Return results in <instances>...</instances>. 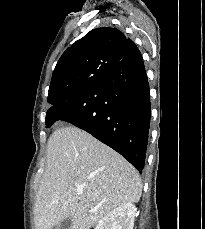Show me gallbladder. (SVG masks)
<instances>
[{
	"label": "gallbladder",
	"mask_w": 205,
	"mask_h": 229,
	"mask_svg": "<svg viewBox=\"0 0 205 229\" xmlns=\"http://www.w3.org/2000/svg\"><path fill=\"white\" fill-rule=\"evenodd\" d=\"M71 227V219L70 217L61 221L58 225H55L52 229H70Z\"/></svg>",
	"instance_id": "bac80fb5"
}]
</instances>
